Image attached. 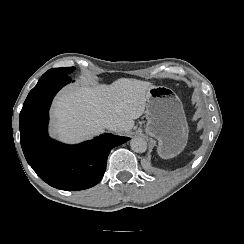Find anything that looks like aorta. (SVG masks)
I'll return each mask as SVG.
<instances>
[{
	"label": "aorta",
	"mask_w": 244,
	"mask_h": 244,
	"mask_svg": "<svg viewBox=\"0 0 244 244\" xmlns=\"http://www.w3.org/2000/svg\"><path fill=\"white\" fill-rule=\"evenodd\" d=\"M131 149L137 153H143L147 150V142L141 137H134L130 141Z\"/></svg>",
	"instance_id": "762f6f07"
}]
</instances>
